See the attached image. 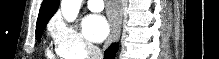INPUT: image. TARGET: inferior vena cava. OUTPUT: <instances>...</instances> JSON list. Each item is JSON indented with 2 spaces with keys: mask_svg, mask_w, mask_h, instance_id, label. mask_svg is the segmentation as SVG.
Here are the masks:
<instances>
[{
  "mask_svg": "<svg viewBox=\"0 0 219 59\" xmlns=\"http://www.w3.org/2000/svg\"><path fill=\"white\" fill-rule=\"evenodd\" d=\"M87 52H88V59H103L101 50L93 44L87 45Z\"/></svg>",
  "mask_w": 219,
  "mask_h": 59,
  "instance_id": "inferior-vena-cava-1",
  "label": "inferior vena cava"
}]
</instances>
